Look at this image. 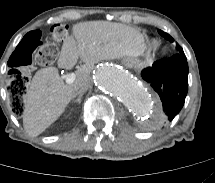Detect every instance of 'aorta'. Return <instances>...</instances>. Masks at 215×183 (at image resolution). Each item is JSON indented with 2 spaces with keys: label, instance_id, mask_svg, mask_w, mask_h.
Masks as SVG:
<instances>
[{
  "label": "aorta",
  "instance_id": "aorta-1",
  "mask_svg": "<svg viewBox=\"0 0 215 183\" xmlns=\"http://www.w3.org/2000/svg\"><path fill=\"white\" fill-rule=\"evenodd\" d=\"M93 81L103 93L125 103L131 111L143 119H154L157 109L152 98L131 74L114 65H101L94 74Z\"/></svg>",
  "mask_w": 215,
  "mask_h": 183
}]
</instances>
